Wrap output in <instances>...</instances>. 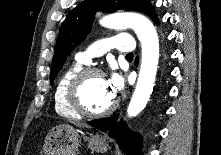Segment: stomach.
I'll return each instance as SVG.
<instances>
[{
	"instance_id": "stomach-1",
	"label": "stomach",
	"mask_w": 221,
	"mask_h": 155,
	"mask_svg": "<svg viewBox=\"0 0 221 155\" xmlns=\"http://www.w3.org/2000/svg\"><path fill=\"white\" fill-rule=\"evenodd\" d=\"M84 140L93 152L104 153L109 148L106 138L100 134H91ZM80 141L79 130L67 124L55 126L45 139L44 155H75Z\"/></svg>"
}]
</instances>
